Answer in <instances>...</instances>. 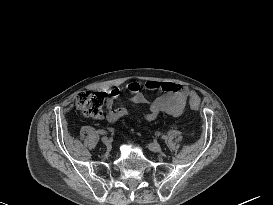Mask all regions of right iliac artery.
<instances>
[{"label": "right iliac artery", "mask_w": 273, "mask_h": 205, "mask_svg": "<svg viewBox=\"0 0 273 205\" xmlns=\"http://www.w3.org/2000/svg\"><path fill=\"white\" fill-rule=\"evenodd\" d=\"M98 132L101 133V134H106L107 133L106 131H103V130H99Z\"/></svg>", "instance_id": "1"}]
</instances>
